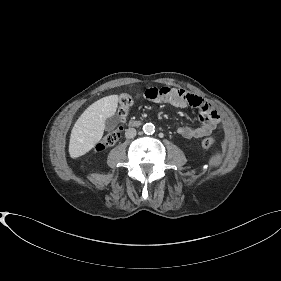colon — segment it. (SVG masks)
<instances>
[{"instance_id": "obj_1", "label": "colon", "mask_w": 281, "mask_h": 281, "mask_svg": "<svg viewBox=\"0 0 281 281\" xmlns=\"http://www.w3.org/2000/svg\"><path fill=\"white\" fill-rule=\"evenodd\" d=\"M133 98L130 94H122L118 100V113L121 121H125L130 107L132 106ZM122 130L121 128H117L109 133H107L103 139L96 144L95 151L101 152L104 149L113 146L121 137ZM216 141L212 138H204L201 141V146L205 149L214 148L216 146Z\"/></svg>"}]
</instances>
